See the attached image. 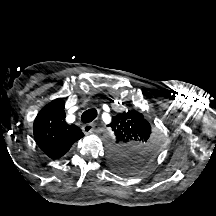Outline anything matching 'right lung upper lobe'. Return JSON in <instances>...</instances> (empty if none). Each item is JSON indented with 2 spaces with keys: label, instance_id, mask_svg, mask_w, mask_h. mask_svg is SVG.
Segmentation results:
<instances>
[{
  "label": "right lung upper lobe",
  "instance_id": "cb5924a9",
  "mask_svg": "<svg viewBox=\"0 0 216 216\" xmlns=\"http://www.w3.org/2000/svg\"><path fill=\"white\" fill-rule=\"evenodd\" d=\"M65 103L61 98L47 104L37 115L33 130L40 149L51 159H58L84 136L76 125L65 122Z\"/></svg>",
  "mask_w": 216,
  "mask_h": 216
}]
</instances>
